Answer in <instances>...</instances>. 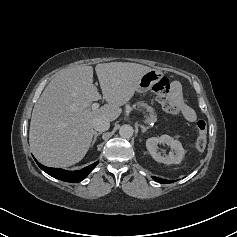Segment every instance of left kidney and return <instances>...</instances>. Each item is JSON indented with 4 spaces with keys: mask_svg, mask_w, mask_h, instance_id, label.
<instances>
[{
    "mask_svg": "<svg viewBox=\"0 0 237 237\" xmlns=\"http://www.w3.org/2000/svg\"><path fill=\"white\" fill-rule=\"evenodd\" d=\"M161 143H165L171 147L172 151L169 152V155L162 156L161 153L158 152V144ZM146 147L154 160L167 165L179 164L185 155V150L182 144L169 135H162L160 137H151L147 139Z\"/></svg>",
    "mask_w": 237,
    "mask_h": 237,
    "instance_id": "obj_1",
    "label": "left kidney"
}]
</instances>
